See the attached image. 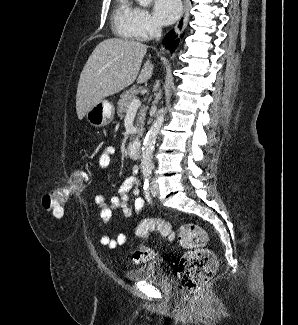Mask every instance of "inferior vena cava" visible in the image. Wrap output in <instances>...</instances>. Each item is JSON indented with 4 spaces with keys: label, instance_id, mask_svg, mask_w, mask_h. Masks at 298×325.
Returning <instances> with one entry per match:
<instances>
[{
    "label": "inferior vena cava",
    "instance_id": "1",
    "mask_svg": "<svg viewBox=\"0 0 298 325\" xmlns=\"http://www.w3.org/2000/svg\"><path fill=\"white\" fill-rule=\"evenodd\" d=\"M154 34H155V40H156V42H157V40H161V38L163 36V32H162L161 26H156Z\"/></svg>",
    "mask_w": 298,
    "mask_h": 325
}]
</instances>
